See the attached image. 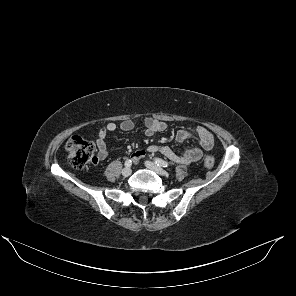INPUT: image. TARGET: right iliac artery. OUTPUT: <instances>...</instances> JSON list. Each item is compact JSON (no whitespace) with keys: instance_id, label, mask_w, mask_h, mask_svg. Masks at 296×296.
<instances>
[{"instance_id":"right-iliac-artery-1","label":"right iliac artery","mask_w":296,"mask_h":296,"mask_svg":"<svg viewBox=\"0 0 296 296\" xmlns=\"http://www.w3.org/2000/svg\"><path fill=\"white\" fill-rule=\"evenodd\" d=\"M131 165H132L131 160L127 159V160L125 161V166H126V167H130Z\"/></svg>"}]
</instances>
